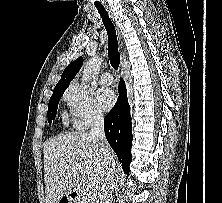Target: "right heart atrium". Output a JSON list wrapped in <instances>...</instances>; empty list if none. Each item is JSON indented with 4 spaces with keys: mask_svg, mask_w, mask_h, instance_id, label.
<instances>
[{
    "mask_svg": "<svg viewBox=\"0 0 222 203\" xmlns=\"http://www.w3.org/2000/svg\"><path fill=\"white\" fill-rule=\"evenodd\" d=\"M65 101L69 107L72 122L78 129H86L103 119V113L92 92L78 84L68 89Z\"/></svg>",
    "mask_w": 222,
    "mask_h": 203,
    "instance_id": "right-heart-atrium-1",
    "label": "right heart atrium"
}]
</instances>
